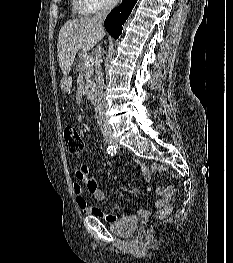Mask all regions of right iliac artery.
Masks as SVG:
<instances>
[{"instance_id": "82829eb1", "label": "right iliac artery", "mask_w": 233, "mask_h": 263, "mask_svg": "<svg viewBox=\"0 0 233 263\" xmlns=\"http://www.w3.org/2000/svg\"><path fill=\"white\" fill-rule=\"evenodd\" d=\"M107 153L110 154V155H115L117 153V149L115 146H108L107 147Z\"/></svg>"}]
</instances>
